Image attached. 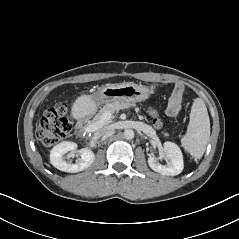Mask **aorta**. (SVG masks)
Here are the masks:
<instances>
[{
	"mask_svg": "<svg viewBox=\"0 0 239 239\" xmlns=\"http://www.w3.org/2000/svg\"><path fill=\"white\" fill-rule=\"evenodd\" d=\"M124 137L127 139V140H131L134 138V131L132 129H126L124 131Z\"/></svg>",
	"mask_w": 239,
	"mask_h": 239,
	"instance_id": "1",
	"label": "aorta"
}]
</instances>
